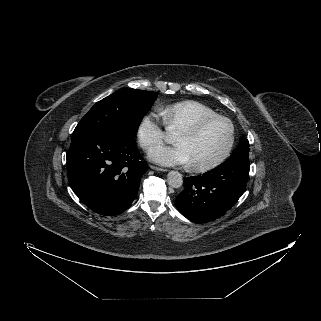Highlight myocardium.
<instances>
[{"mask_svg": "<svg viewBox=\"0 0 321 321\" xmlns=\"http://www.w3.org/2000/svg\"><path fill=\"white\" fill-rule=\"evenodd\" d=\"M215 120H222L224 121L229 129V138L228 142L222 151V153L213 161L204 164H190V169L195 172H205L212 170L219 165H221L227 157L230 155L234 142H235V126L232 120L224 115L221 114H213L205 117H201L192 124L185 126L180 129L181 132H185L188 134H195L203 129L207 124L215 121Z\"/></svg>", "mask_w": 321, "mask_h": 321, "instance_id": "obj_1", "label": "myocardium"}]
</instances>
